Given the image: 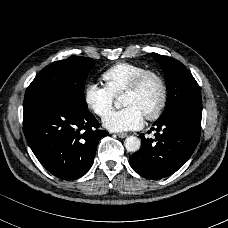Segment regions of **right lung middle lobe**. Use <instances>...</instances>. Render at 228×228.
<instances>
[{"label": "right lung middle lobe", "instance_id": "right-lung-middle-lobe-1", "mask_svg": "<svg viewBox=\"0 0 228 228\" xmlns=\"http://www.w3.org/2000/svg\"><path fill=\"white\" fill-rule=\"evenodd\" d=\"M94 60L71 56L46 66L26 90L24 99L36 96H56L87 109L84 85Z\"/></svg>", "mask_w": 228, "mask_h": 228}]
</instances>
